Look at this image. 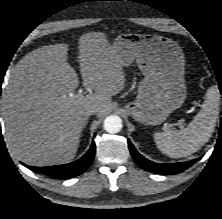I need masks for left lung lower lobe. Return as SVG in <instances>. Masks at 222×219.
I'll return each instance as SVG.
<instances>
[{
  "mask_svg": "<svg viewBox=\"0 0 222 219\" xmlns=\"http://www.w3.org/2000/svg\"><path fill=\"white\" fill-rule=\"evenodd\" d=\"M128 145L130 153L135 160V162L144 170L155 173V174H177L188 169L200 158L180 163H171V164H158L154 163L137 152L130 140H128Z\"/></svg>",
  "mask_w": 222,
  "mask_h": 219,
  "instance_id": "0a47b994",
  "label": "left lung lower lobe"
}]
</instances>
